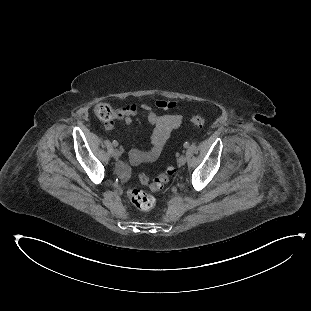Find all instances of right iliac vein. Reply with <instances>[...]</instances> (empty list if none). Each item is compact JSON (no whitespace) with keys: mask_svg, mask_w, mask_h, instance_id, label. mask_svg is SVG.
I'll return each instance as SVG.
<instances>
[{"mask_svg":"<svg viewBox=\"0 0 311 311\" xmlns=\"http://www.w3.org/2000/svg\"><path fill=\"white\" fill-rule=\"evenodd\" d=\"M112 155H113V157H114L115 159H118V158L120 157V152H119L117 149H115V150L113 151Z\"/></svg>","mask_w":311,"mask_h":311,"instance_id":"1","label":"right iliac vein"}]
</instances>
